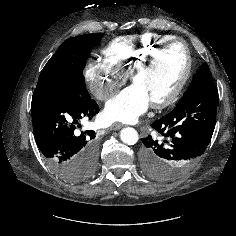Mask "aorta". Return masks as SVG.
<instances>
[{
    "instance_id": "obj_1",
    "label": "aorta",
    "mask_w": 236,
    "mask_h": 236,
    "mask_svg": "<svg viewBox=\"0 0 236 236\" xmlns=\"http://www.w3.org/2000/svg\"><path fill=\"white\" fill-rule=\"evenodd\" d=\"M120 139L127 145H134L137 143L139 137L137 131L134 128L126 127L121 130Z\"/></svg>"
}]
</instances>
